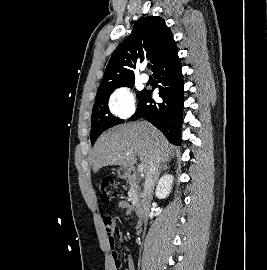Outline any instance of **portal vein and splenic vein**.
<instances>
[{"instance_id":"obj_1","label":"portal vein and splenic vein","mask_w":267,"mask_h":270,"mask_svg":"<svg viewBox=\"0 0 267 270\" xmlns=\"http://www.w3.org/2000/svg\"><path fill=\"white\" fill-rule=\"evenodd\" d=\"M138 171H139L140 173H143V172H144V166H143L142 163H140V164L138 165Z\"/></svg>"}]
</instances>
